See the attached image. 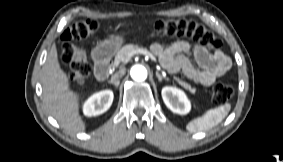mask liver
I'll return each mask as SVG.
<instances>
[{"label": "liver", "instance_id": "1", "mask_svg": "<svg viewBox=\"0 0 283 162\" xmlns=\"http://www.w3.org/2000/svg\"><path fill=\"white\" fill-rule=\"evenodd\" d=\"M41 82L43 101L49 114L69 132L84 131L86 124L79 113V94L71 89L69 77L60 67L56 45L48 53Z\"/></svg>", "mask_w": 283, "mask_h": 162}]
</instances>
